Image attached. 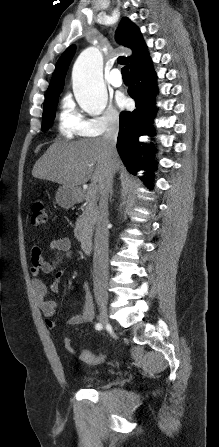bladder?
<instances>
[{
  "label": "bladder",
  "instance_id": "obj_1",
  "mask_svg": "<svg viewBox=\"0 0 219 447\" xmlns=\"http://www.w3.org/2000/svg\"><path fill=\"white\" fill-rule=\"evenodd\" d=\"M99 378L98 375H83L81 380L86 384H91Z\"/></svg>",
  "mask_w": 219,
  "mask_h": 447
}]
</instances>
